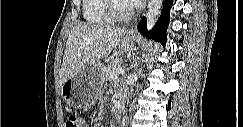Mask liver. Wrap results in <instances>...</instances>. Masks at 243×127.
<instances>
[{
	"label": "liver",
	"mask_w": 243,
	"mask_h": 127,
	"mask_svg": "<svg viewBox=\"0 0 243 127\" xmlns=\"http://www.w3.org/2000/svg\"><path fill=\"white\" fill-rule=\"evenodd\" d=\"M126 33V28L91 24L74 26L68 36L64 52L60 84L62 85L86 66L106 58Z\"/></svg>",
	"instance_id": "1"
}]
</instances>
